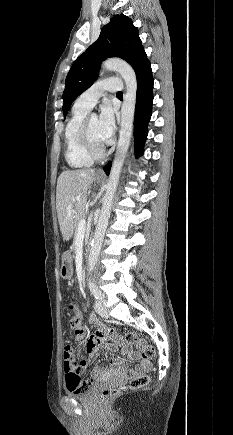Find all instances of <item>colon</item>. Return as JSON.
I'll return each mask as SVG.
<instances>
[{
  "label": "colon",
  "instance_id": "obj_1",
  "mask_svg": "<svg viewBox=\"0 0 233 435\" xmlns=\"http://www.w3.org/2000/svg\"><path fill=\"white\" fill-rule=\"evenodd\" d=\"M71 311V316L69 320L70 328L73 332H77L80 326V319L75 313V307L71 305L69 307ZM110 336L112 340L117 344H123V343H132L136 346L137 350L141 354V356L147 360V361H154L156 358V351L155 348L148 344L144 339L140 338L137 333L135 332H125L123 334L115 331L110 330ZM63 354L65 361L67 359L74 356V347L72 344L67 343L65 344L63 348ZM72 365L74 367H78L79 363L76 359L71 360ZM150 380V376L148 373H139L134 375L129 382L124 386L119 387H106L104 388L100 395H99V401L103 404H108L112 402L120 392L123 390H136L140 389L141 387L145 386ZM67 389L72 393H78L83 392L89 388V383L84 382L80 379V377L76 374H70L67 377Z\"/></svg>",
  "mask_w": 233,
  "mask_h": 435
}]
</instances>
